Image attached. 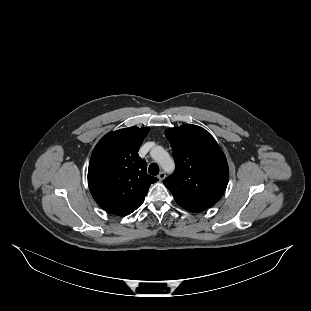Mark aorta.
I'll list each match as a JSON object with an SVG mask.
<instances>
[{
	"label": "aorta",
	"instance_id": "aorta-1",
	"mask_svg": "<svg viewBox=\"0 0 311 311\" xmlns=\"http://www.w3.org/2000/svg\"><path fill=\"white\" fill-rule=\"evenodd\" d=\"M151 158L156 161L164 171L172 172L175 169L174 160L162 146H155L150 151Z\"/></svg>",
	"mask_w": 311,
	"mask_h": 311
}]
</instances>
